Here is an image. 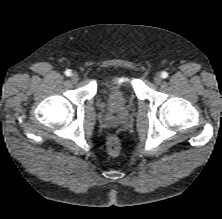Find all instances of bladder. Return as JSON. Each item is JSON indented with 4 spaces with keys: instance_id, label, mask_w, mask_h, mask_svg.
I'll return each mask as SVG.
<instances>
[{
    "instance_id": "obj_1",
    "label": "bladder",
    "mask_w": 222,
    "mask_h": 219,
    "mask_svg": "<svg viewBox=\"0 0 222 219\" xmlns=\"http://www.w3.org/2000/svg\"><path fill=\"white\" fill-rule=\"evenodd\" d=\"M101 89L104 100L111 109L119 110L126 106L128 93L122 85L105 81L102 83Z\"/></svg>"
}]
</instances>
